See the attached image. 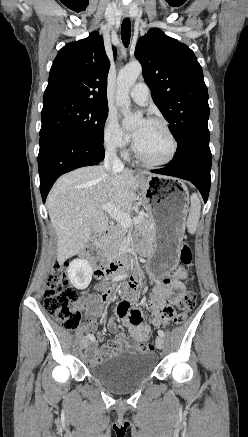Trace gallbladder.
I'll return each instance as SVG.
<instances>
[{
  "mask_svg": "<svg viewBox=\"0 0 248 437\" xmlns=\"http://www.w3.org/2000/svg\"><path fill=\"white\" fill-rule=\"evenodd\" d=\"M93 238H95V235H92V237H91V241H92Z\"/></svg>",
  "mask_w": 248,
  "mask_h": 437,
  "instance_id": "obj_1",
  "label": "gallbladder"
}]
</instances>
